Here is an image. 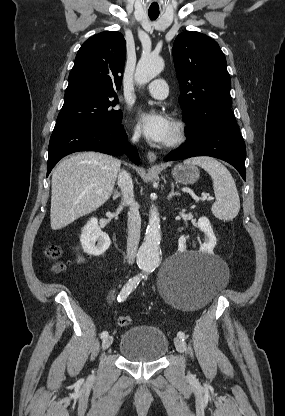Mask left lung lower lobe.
<instances>
[{
  "label": "left lung lower lobe",
  "mask_w": 285,
  "mask_h": 416,
  "mask_svg": "<svg viewBox=\"0 0 285 416\" xmlns=\"http://www.w3.org/2000/svg\"><path fill=\"white\" fill-rule=\"evenodd\" d=\"M211 156L234 166L245 177L246 148L236 122H220L187 136L184 145L164 158V161Z\"/></svg>",
  "instance_id": "left-lung-lower-lobe-1"
}]
</instances>
